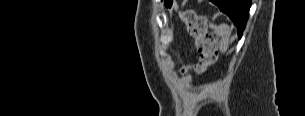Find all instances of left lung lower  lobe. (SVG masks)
Instances as JSON below:
<instances>
[{
	"label": "left lung lower lobe",
	"instance_id": "0a47b994",
	"mask_svg": "<svg viewBox=\"0 0 305 116\" xmlns=\"http://www.w3.org/2000/svg\"><path fill=\"white\" fill-rule=\"evenodd\" d=\"M212 2L219 7L220 11L229 16L241 37L249 16L251 0H212Z\"/></svg>",
	"mask_w": 305,
	"mask_h": 116
}]
</instances>
